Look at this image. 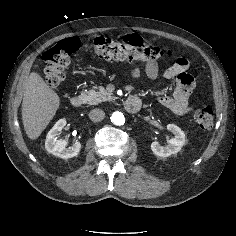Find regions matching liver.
Masks as SVG:
<instances>
[{"instance_id":"obj_1","label":"liver","mask_w":236,"mask_h":236,"mask_svg":"<svg viewBox=\"0 0 236 236\" xmlns=\"http://www.w3.org/2000/svg\"><path fill=\"white\" fill-rule=\"evenodd\" d=\"M60 105L58 94L36 72L27 80L22 101V121L31 140L37 139L55 116Z\"/></svg>"}]
</instances>
